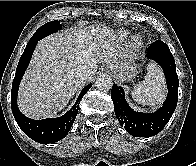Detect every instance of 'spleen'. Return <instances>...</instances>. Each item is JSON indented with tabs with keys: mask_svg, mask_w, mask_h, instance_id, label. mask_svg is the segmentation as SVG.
<instances>
[{
	"mask_svg": "<svg viewBox=\"0 0 196 166\" xmlns=\"http://www.w3.org/2000/svg\"><path fill=\"white\" fill-rule=\"evenodd\" d=\"M165 82L163 74L155 63L147 67L145 79L134 87L133 99L142 105H156L162 102L165 97Z\"/></svg>",
	"mask_w": 196,
	"mask_h": 166,
	"instance_id": "3e777b00",
	"label": "spleen"
}]
</instances>
